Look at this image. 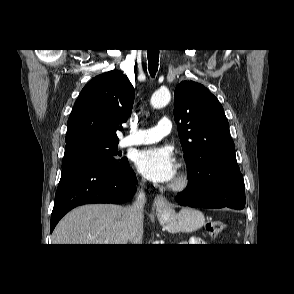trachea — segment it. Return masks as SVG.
<instances>
[{
  "label": "trachea",
  "mask_w": 294,
  "mask_h": 294,
  "mask_svg": "<svg viewBox=\"0 0 294 294\" xmlns=\"http://www.w3.org/2000/svg\"><path fill=\"white\" fill-rule=\"evenodd\" d=\"M148 68L151 76H154L158 69L159 50L152 49L147 52Z\"/></svg>",
  "instance_id": "obj_1"
}]
</instances>
